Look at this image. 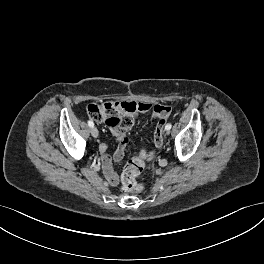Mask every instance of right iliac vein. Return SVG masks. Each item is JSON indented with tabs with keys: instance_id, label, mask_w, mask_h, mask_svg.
Segmentation results:
<instances>
[{
	"instance_id": "1",
	"label": "right iliac vein",
	"mask_w": 264,
	"mask_h": 264,
	"mask_svg": "<svg viewBox=\"0 0 264 264\" xmlns=\"http://www.w3.org/2000/svg\"><path fill=\"white\" fill-rule=\"evenodd\" d=\"M91 134L94 138H97L99 134L98 129L96 127H92Z\"/></svg>"
}]
</instances>
